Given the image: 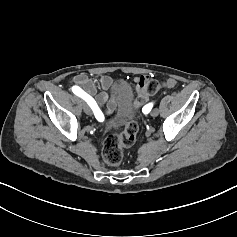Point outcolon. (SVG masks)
<instances>
[{"mask_svg":"<svg viewBox=\"0 0 237 237\" xmlns=\"http://www.w3.org/2000/svg\"><path fill=\"white\" fill-rule=\"evenodd\" d=\"M160 88L157 80H149L144 86L146 96L155 94ZM124 129L120 134H109L103 142L102 158L110 166L116 167L123 160V149L131 147L135 141L139 126L135 121H127L123 124Z\"/></svg>","mask_w":237,"mask_h":237,"instance_id":"obj_1","label":"colon"}]
</instances>
